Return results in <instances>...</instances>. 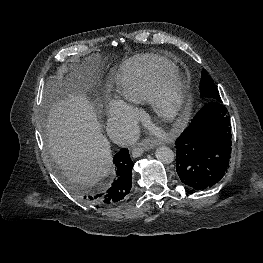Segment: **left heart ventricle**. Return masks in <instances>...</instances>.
Listing matches in <instances>:
<instances>
[{
	"mask_svg": "<svg viewBox=\"0 0 263 263\" xmlns=\"http://www.w3.org/2000/svg\"><path fill=\"white\" fill-rule=\"evenodd\" d=\"M168 97L171 99V97H172V94H171V93H169V94H168Z\"/></svg>",
	"mask_w": 263,
	"mask_h": 263,
	"instance_id": "1",
	"label": "left heart ventricle"
}]
</instances>
